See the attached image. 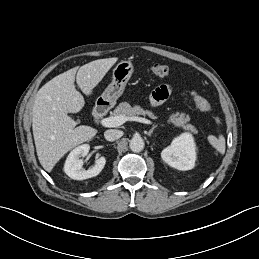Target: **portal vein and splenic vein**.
<instances>
[{
  "label": "portal vein and splenic vein",
  "mask_w": 259,
  "mask_h": 259,
  "mask_svg": "<svg viewBox=\"0 0 259 259\" xmlns=\"http://www.w3.org/2000/svg\"><path fill=\"white\" fill-rule=\"evenodd\" d=\"M127 120H133V121H137V122H141V123H145V124H152V122L150 120L142 118V117L127 118L123 115L103 118L100 121V123L104 127H118V126L124 124Z\"/></svg>",
  "instance_id": "obj_1"
}]
</instances>
